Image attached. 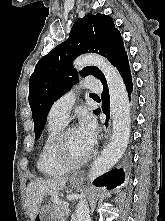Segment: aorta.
<instances>
[{
    "instance_id": "obj_1",
    "label": "aorta",
    "mask_w": 165,
    "mask_h": 221,
    "mask_svg": "<svg viewBox=\"0 0 165 221\" xmlns=\"http://www.w3.org/2000/svg\"><path fill=\"white\" fill-rule=\"evenodd\" d=\"M74 65L76 68L86 65L98 67L104 74L109 88L113 132L111 141L91 166L88 179L94 180L109 171L126 150L131 128L130 103L121 75L106 58L88 54L79 57ZM75 221H90V210L85 193L79 197Z\"/></svg>"
}]
</instances>
